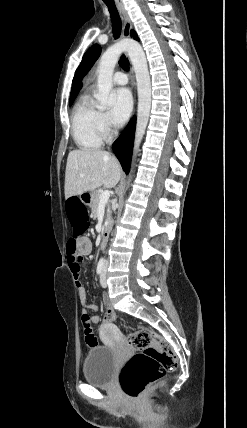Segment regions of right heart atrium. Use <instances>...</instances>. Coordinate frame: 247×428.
Returning <instances> with one entry per match:
<instances>
[{
  "instance_id": "1",
  "label": "right heart atrium",
  "mask_w": 247,
  "mask_h": 428,
  "mask_svg": "<svg viewBox=\"0 0 247 428\" xmlns=\"http://www.w3.org/2000/svg\"><path fill=\"white\" fill-rule=\"evenodd\" d=\"M99 126L103 136L108 137L113 132V124L104 112L99 113Z\"/></svg>"
}]
</instances>
